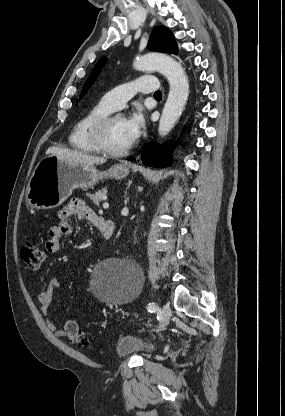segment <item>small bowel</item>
<instances>
[{"label": "small bowel", "mask_w": 285, "mask_h": 416, "mask_svg": "<svg viewBox=\"0 0 285 416\" xmlns=\"http://www.w3.org/2000/svg\"><path fill=\"white\" fill-rule=\"evenodd\" d=\"M77 217L80 221H89L93 225L97 226L101 220L92 209H90L84 201L80 199H73L68 202L59 212L58 224L51 226L49 229V240L46 242V251L49 254H56L60 251V239L63 236H68L73 232L71 223L72 217ZM60 282L58 279H51L48 284L41 287L38 300L41 304V312L46 321V324L50 331L58 337L65 335L63 329L59 328L51 319L50 306L53 300V295L56 290L59 289Z\"/></svg>", "instance_id": "1"}]
</instances>
